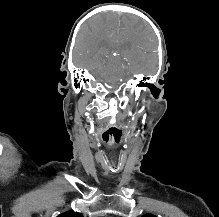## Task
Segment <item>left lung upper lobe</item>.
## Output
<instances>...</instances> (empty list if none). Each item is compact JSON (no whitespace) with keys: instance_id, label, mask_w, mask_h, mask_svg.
<instances>
[{"instance_id":"5c2ea615","label":"left lung upper lobe","mask_w":219,"mask_h":217,"mask_svg":"<svg viewBox=\"0 0 219 217\" xmlns=\"http://www.w3.org/2000/svg\"><path fill=\"white\" fill-rule=\"evenodd\" d=\"M142 217H156L155 215H152V214H145L143 215Z\"/></svg>"}]
</instances>
